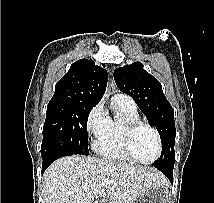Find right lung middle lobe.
<instances>
[{
  "label": "right lung middle lobe",
  "instance_id": "dd1d6c3e",
  "mask_svg": "<svg viewBox=\"0 0 214 203\" xmlns=\"http://www.w3.org/2000/svg\"><path fill=\"white\" fill-rule=\"evenodd\" d=\"M96 105L50 101L43 127L42 158L49 155H89L87 120Z\"/></svg>",
  "mask_w": 214,
  "mask_h": 203
}]
</instances>
